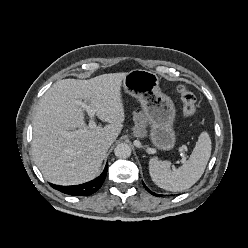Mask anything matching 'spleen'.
Returning <instances> with one entry per match:
<instances>
[{"instance_id": "3e777b00", "label": "spleen", "mask_w": 248, "mask_h": 248, "mask_svg": "<svg viewBox=\"0 0 248 248\" xmlns=\"http://www.w3.org/2000/svg\"><path fill=\"white\" fill-rule=\"evenodd\" d=\"M211 155V139L207 132L198 138L190 158L178 169H170L168 161L151 158L149 173L153 182L167 191H183L194 185L204 173Z\"/></svg>"}]
</instances>
